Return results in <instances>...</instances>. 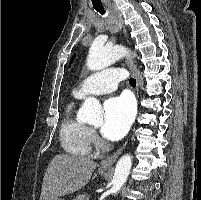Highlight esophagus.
Masks as SVG:
<instances>
[{"label": "esophagus", "mask_w": 201, "mask_h": 200, "mask_svg": "<svg viewBox=\"0 0 201 200\" xmlns=\"http://www.w3.org/2000/svg\"><path fill=\"white\" fill-rule=\"evenodd\" d=\"M123 34L125 37L127 36V30L125 28L123 29ZM126 63L129 67V69L131 70L132 74L134 75V77L137 80L136 90H137V97H138V91H139V87L141 84L139 70L131 59H127ZM126 146H127V142L122 147H120L112 156L107 157L104 160H102L101 167L102 168H110L116 162V160L121 155V153L123 152V150L125 149Z\"/></svg>", "instance_id": "34e87169"}]
</instances>
